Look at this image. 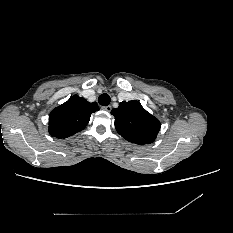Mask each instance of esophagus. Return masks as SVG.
<instances>
[{"label":"esophagus","instance_id":"obj_1","mask_svg":"<svg viewBox=\"0 0 233 233\" xmlns=\"http://www.w3.org/2000/svg\"><path fill=\"white\" fill-rule=\"evenodd\" d=\"M101 109L104 111L110 112L112 110V107L110 105H108V106L101 107Z\"/></svg>","mask_w":233,"mask_h":233}]
</instances>
